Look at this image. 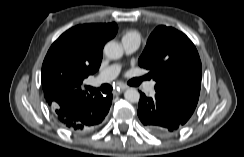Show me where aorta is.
Returning <instances> with one entry per match:
<instances>
[{
	"mask_svg": "<svg viewBox=\"0 0 244 157\" xmlns=\"http://www.w3.org/2000/svg\"><path fill=\"white\" fill-rule=\"evenodd\" d=\"M104 53L109 59H120L123 56V48L117 42L110 41L105 45ZM124 97L131 103H137L140 99V94L137 89L129 88L125 91Z\"/></svg>",
	"mask_w": 244,
	"mask_h": 157,
	"instance_id": "aorta-1",
	"label": "aorta"
}]
</instances>
